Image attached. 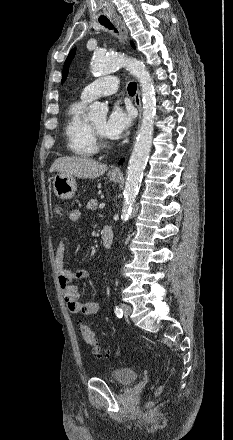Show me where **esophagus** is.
Returning a JSON list of instances; mask_svg holds the SVG:
<instances>
[{
    "mask_svg": "<svg viewBox=\"0 0 233 440\" xmlns=\"http://www.w3.org/2000/svg\"><path fill=\"white\" fill-rule=\"evenodd\" d=\"M115 24L121 34L123 43L126 44L127 40H128V31L127 28L124 24V22L121 20L120 17H115L114 18ZM135 105L138 108L139 111V119L141 118V114H142V107H141V97H140V89L137 86V91H136V95H135ZM112 173H116V174H121V169L119 167H113L111 169Z\"/></svg>",
    "mask_w": 233,
    "mask_h": 440,
    "instance_id": "esophagus-1",
    "label": "esophagus"
}]
</instances>
